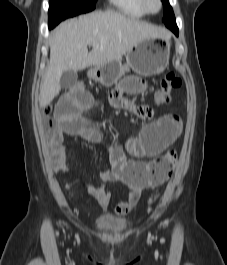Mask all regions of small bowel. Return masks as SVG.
<instances>
[{"instance_id":"small-bowel-1","label":"small bowel","mask_w":227,"mask_h":265,"mask_svg":"<svg viewBox=\"0 0 227 265\" xmlns=\"http://www.w3.org/2000/svg\"><path fill=\"white\" fill-rule=\"evenodd\" d=\"M117 86L110 96V104L114 108L128 109L131 112H140V107L131 106L126 102L128 94H140L146 90V83L142 79L129 75L122 81H114ZM97 99H92L90 91L85 87H66L62 91L61 99H57L54 116L57 126L54 128L48 144L49 155L53 168L66 173L72 163L68 160L64 146V135L79 136L88 142L100 144L101 132L91 126L84 113L92 104H97ZM181 121L178 116L166 114L147 124L137 137L129 138L124 148L107 146L110 168L98 172L101 179L100 185L86 183L88 194L96 200L99 206L107 209L112 200L111 193L106 189V184L112 181L123 183L127 189L125 199L121 200L114 208L113 213H107L103 220L114 222L124 218L138 203L142 191L156 187L165 180H159L156 172V157L165 152L181 133ZM127 154L137 158L129 159ZM150 158L148 162L140 160ZM65 188L73 196L71 186L65 183Z\"/></svg>"}]
</instances>
